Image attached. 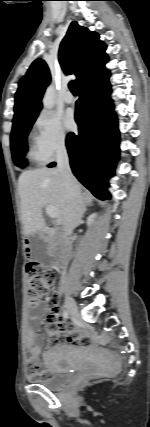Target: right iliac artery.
<instances>
[{
	"label": "right iliac artery",
	"mask_w": 150,
	"mask_h": 427,
	"mask_svg": "<svg viewBox=\"0 0 150 427\" xmlns=\"http://www.w3.org/2000/svg\"><path fill=\"white\" fill-rule=\"evenodd\" d=\"M63 317H64V318H68V317H69V313H68L67 311H64V312H63Z\"/></svg>",
	"instance_id": "right-iliac-artery-1"
}]
</instances>
